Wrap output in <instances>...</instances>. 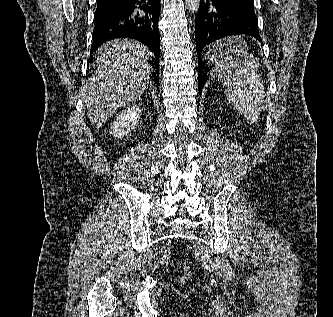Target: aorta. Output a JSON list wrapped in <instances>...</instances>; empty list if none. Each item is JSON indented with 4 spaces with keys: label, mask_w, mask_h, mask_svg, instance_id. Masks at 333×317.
Instances as JSON below:
<instances>
[{
    "label": "aorta",
    "mask_w": 333,
    "mask_h": 317,
    "mask_svg": "<svg viewBox=\"0 0 333 317\" xmlns=\"http://www.w3.org/2000/svg\"><path fill=\"white\" fill-rule=\"evenodd\" d=\"M185 4L190 12L196 13L200 5V0H185Z\"/></svg>",
    "instance_id": "obj_1"
}]
</instances>
